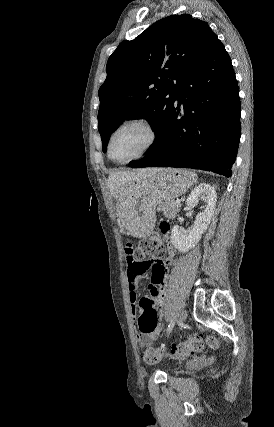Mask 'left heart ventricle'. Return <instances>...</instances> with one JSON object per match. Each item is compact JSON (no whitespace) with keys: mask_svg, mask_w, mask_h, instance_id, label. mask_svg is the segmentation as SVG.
Masks as SVG:
<instances>
[{"mask_svg":"<svg viewBox=\"0 0 274 427\" xmlns=\"http://www.w3.org/2000/svg\"><path fill=\"white\" fill-rule=\"evenodd\" d=\"M148 131L140 125H131L118 131L111 143V153L119 161L138 154L149 141Z\"/></svg>","mask_w":274,"mask_h":427,"instance_id":"1","label":"left heart ventricle"}]
</instances>
